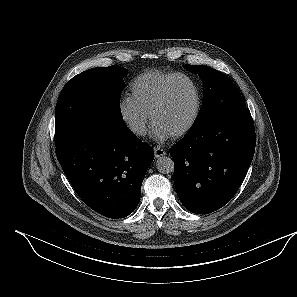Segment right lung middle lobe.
<instances>
[{
	"mask_svg": "<svg viewBox=\"0 0 297 297\" xmlns=\"http://www.w3.org/2000/svg\"><path fill=\"white\" fill-rule=\"evenodd\" d=\"M127 70L120 66L92 68L73 77L59 95L55 112L56 148L92 118L123 120L120 94Z\"/></svg>",
	"mask_w": 297,
	"mask_h": 297,
	"instance_id": "dd1d6c3e",
	"label": "right lung middle lobe"
}]
</instances>
